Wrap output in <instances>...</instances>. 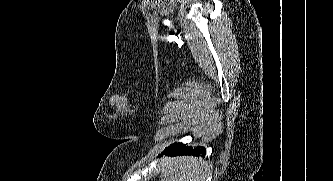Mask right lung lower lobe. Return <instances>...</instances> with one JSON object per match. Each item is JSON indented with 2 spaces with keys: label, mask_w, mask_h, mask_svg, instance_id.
<instances>
[{
  "label": "right lung lower lobe",
  "mask_w": 333,
  "mask_h": 181,
  "mask_svg": "<svg viewBox=\"0 0 333 181\" xmlns=\"http://www.w3.org/2000/svg\"><path fill=\"white\" fill-rule=\"evenodd\" d=\"M163 153L168 156L194 155L198 157H204L206 150L199 147H185L182 143H176L166 148Z\"/></svg>",
  "instance_id": "1"
}]
</instances>
